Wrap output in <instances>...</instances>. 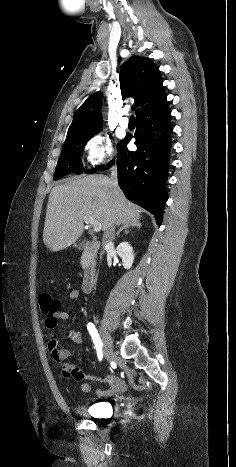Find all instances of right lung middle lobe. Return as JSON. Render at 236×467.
Masks as SVG:
<instances>
[{"label": "right lung middle lobe", "instance_id": "right-lung-middle-lobe-1", "mask_svg": "<svg viewBox=\"0 0 236 467\" xmlns=\"http://www.w3.org/2000/svg\"><path fill=\"white\" fill-rule=\"evenodd\" d=\"M100 130V129H99ZM99 130H94L86 133H73L68 134L64 142L60 158L54 174V180L60 179L65 175L72 172H83L81 164V156L87 141L93 137ZM121 142H119V145ZM101 166L85 171L86 173H93L100 169Z\"/></svg>", "mask_w": 236, "mask_h": 467}]
</instances>
